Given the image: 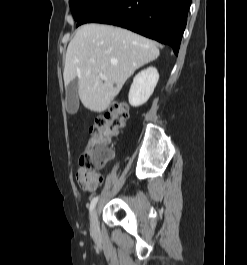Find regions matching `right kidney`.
<instances>
[{"label":"right kidney","mask_w":247,"mask_h":265,"mask_svg":"<svg viewBox=\"0 0 247 265\" xmlns=\"http://www.w3.org/2000/svg\"><path fill=\"white\" fill-rule=\"evenodd\" d=\"M159 74L156 68L149 67L138 73L130 87L129 103L139 107L146 103L157 85Z\"/></svg>","instance_id":"obj_1"}]
</instances>
